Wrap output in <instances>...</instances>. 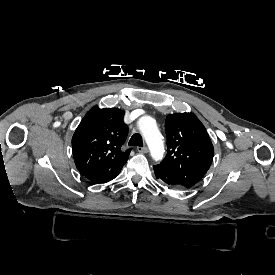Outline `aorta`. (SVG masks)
<instances>
[{
	"label": "aorta",
	"instance_id": "1",
	"mask_svg": "<svg viewBox=\"0 0 275 275\" xmlns=\"http://www.w3.org/2000/svg\"><path fill=\"white\" fill-rule=\"evenodd\" d=\"M138 126L150 146L152 156L159 157L162 154L163 143L155 120L149 116L142 117L138 122Z\"/></svg>",
	"mask_w": 275,
	"mask_h": 275
}]
</instances>
